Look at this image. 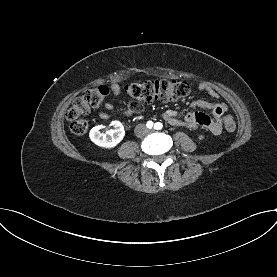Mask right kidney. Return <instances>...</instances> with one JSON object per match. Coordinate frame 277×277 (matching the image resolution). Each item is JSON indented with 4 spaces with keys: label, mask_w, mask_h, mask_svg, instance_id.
Listing matches in <instances>:
<instances>
[{
    "label": "right kidney",
    "mask_w": 277,
    "mask_h": 277,
    "mask_svg": "<svg viewBox=\"0 0 277 277\" xmlns=\"http://www.w3.org/2000/svg\"><path fill=\"white\" fill-rule=\"evenodd\" d=\"M110 125L112 129L106 133L101 131L104 128L102 125L93 127L89 133L91 141L104 148H113L119 144L125 135L124 126L119 121H112Z\"/></svg>",
    "instance_id": "obj_1"
}]
</instances>
